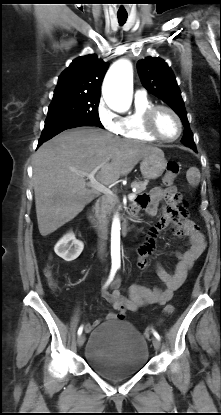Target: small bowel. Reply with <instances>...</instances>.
Returning a JSON list of instances; mask_svg holds the SVG:
<instances>
[{"label": "small bowel", "instance_id": "small-bowel-1", "mask_svg": "<svg viewBox=\"0 0 221 415\" xmlns=\"http://www.w3.org/2000/svg\"><path fill=\"white\" fill-rule=\"evenodd\" d=\"M181 199V195L175 186L157 187L149 193L140 194L136 198L133 204L136 212L142 209L149 216L156 215L159 204L164 202L163 217L151 226L147 241L138 249V267L144 269L148 266L147 258L153 252L155 237L169 224L173 225L176 235L188 238L187 249L184 252L177 253L179 261L174 273L171 274L161 265H156L157 275L165 286L163 289L159 287L149 289L132 285L128 296H126L120 290L121 279L119 276L113 278L114 280L110 286V283L105 282L102 287V297L111 303L113 308L112 311L106 314V321L122 319L125 311H136L148 304H166L172 298L174 292L184 283L194 262L203 253L206 246L205 238L194 223L186 220L189 216L188 208L185 201ZM100 323L101 320L97 319L92 324L87 325L86 329L90 330Z\"/></svg>", "mask_w": 221, "mask_h": 415}]
</instances>
